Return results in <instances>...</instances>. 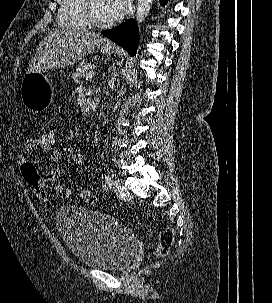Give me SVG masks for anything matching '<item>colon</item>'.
<instances>
[{
  "instance_id": "1",
  "label": "colon",
  "mask_w": 272,
  "mask_h": 303,
  "mask_svg": "<svg viewBox=\"0 0 272 303\" xmlns=\"http://www.w3.org/2000/svg\"><path fill=\"white\" fill-rule=\"evenodd\" d=\"M39 143L45 148H56L57 135L53 128L44 127L36 137ZM85 157L80 151L72 153L69 157V164L71 171H79L84 166ZM21 174L29 184V186L40 196L45 195L44 185L47 183V177L45 175H39L36 172L35 167L32 164L25 163L21 166ZM58 196L61 198H69L74 195V190L59 185L56 188ZM80 197L89 205L96 203L97 198L95 194L88 190H82L79 192ZM174 239L173 231L170 228H165L159 233L158 243L155 249L157 256H165Z\"/></svg>"
}]
</instances>
